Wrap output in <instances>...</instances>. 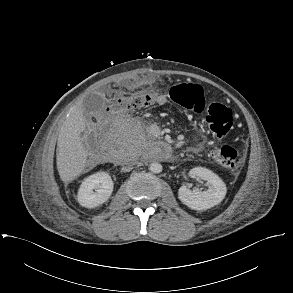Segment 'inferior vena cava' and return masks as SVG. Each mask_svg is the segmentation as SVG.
Listing matches in <instances>:
<instances>
[{
    "label": "inferior vena cava",
    "instance_id": "602c4592",
    "mask_svg": "<svg viewBox=\"0 0 293 293\" xmlns=\"http://www.w3.org/2000/svg\"><path fill=\"white\" fill-rule=\"evenodd\" d=\"M135 163H136V161H130V162L126 163V165L122 167V171H124V172L131 171L133 169V164H135Z\"/></svg>",
    "mask_w": 293,
    "mask_h": 293
}]
</instances>
